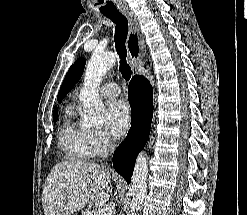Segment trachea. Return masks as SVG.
I'll use <instances>...</instances> for the list:
<instances>
[{"instance_id": "1", "label": "trachea", "mask_w": 247, "mask_h": 215, "mask_svg": "<svg viewBox=\"0 0 247 215\" xmlns=\"http://www.w3.org/2000/svg\"><path fill=\"white\" fill-rule=\"evenodd\" d=\"M104 15L110 18L115 24L114 42H115V48H116L117 54L119 55V58H120L119 70L123 78L126 81H128L132 75L131 67L126 61L127 50L125 47V41H126L127 34H128V20L119 11L109 13V14H104Z\"/></svg>"}]
</instances>
